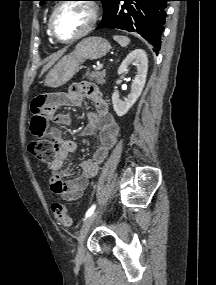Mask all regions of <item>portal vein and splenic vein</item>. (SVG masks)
Instances as JSON below:
<instances>
[{
	"label": "portal vein and splenic vein",
	"mask_w": 216,
	"mask_h": 285,
	"mask_svg": "<svg viewBox=\"0 0 216 285\" xmlns=\"http://www.w3.org/2000/svg\"><path fill=\"white\" fill-rule=\"evenodd\" d=\"M102 67H103V64H100V65L97 66L96 69H97V70H100V69H102Z\"/></svg>",
	"instance_id": "portal-vein-and-splenic-vein-1"
}]
</instances>
